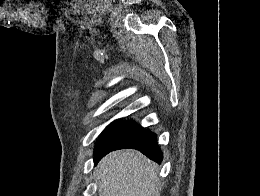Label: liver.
Instances as JSON below:
<instances>
[{
  "mask_svg": "<svg viewBox=\"0 0 260 196\" xmlns=\"http://www.w3.org/2000/svg\"><path fill=\"white\" fill-rule=\"evenodd\" d=\"M95 172L99 196H160L157 164L136 150L111 152Z\"/></svg>",
  "mask_w": 260,
  "mask_h": 196,
  "instance_id": "liver-1",
  "label": "liver"
}]
</instances>
